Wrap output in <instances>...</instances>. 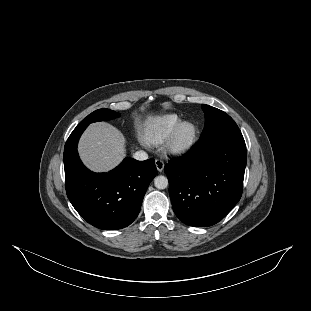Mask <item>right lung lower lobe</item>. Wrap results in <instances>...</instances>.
Instances as JSON below:
<instances>
[{"mask_svg":"<svg viewBox=\"0 0 311 311\" xmlns=\"http://www.w3.org/2000/svg\"><path fill=\"white\" fill-rule=\"evenodd\" d=\"M88 125H77L64 147L66 193L76 211L104 230L127 227L137 217L145 192L157 174L154 159L125 158L108 173H94L81 162L77 144Z\"/></svg>","mask_w":311,"mask_h":311,"instance_id":"98d812e1","label":"right lung lower lobe"}]
</instances>
